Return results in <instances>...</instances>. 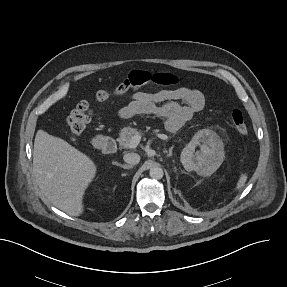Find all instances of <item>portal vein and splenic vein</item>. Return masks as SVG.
Here are the masks:
<instances>
[{"mask_svg": "<svg viewBox=\"0 0 287 287\" xmlns=\"http://www.w3.org/2000/svg\"><path fill=\"white\" fill-rule=\"evenodd\" d=\"M156 136L160 139L168 140V136L165 134H157ZM140 141H141V135L140 134L134 135L129 141L128 148H136L140 143Z\"/></svg>", "mask_w": 287, "mask_h": 287, "instance_id": "obj_1", "label": "portal vein and splenic vein"}]
</instances>
